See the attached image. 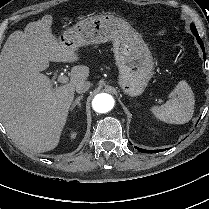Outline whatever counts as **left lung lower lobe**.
<instances>
[{
    "mask_svg": "<svg viewBox=\"0 0 209 209\" xmlns=\"http://www.w3.org/2000/svg\"><path fill=\"white\" fill-rule=\"evenodd\" d=\"M192 33L194 34V36L197 38V41L199 43V45L201 46L202 48V51H203V56H204V59H205V48H204V45H203V42L197 32V30H192ZM139 152H143V153H157V152H161V151H164V150H144V149H141V148H138V147H135Z\"/></svg>",
    "mask_w": 209,
    "mask_h": 209,
    "instance_id": "obj_1",
    "label": "left lung lower lobe"
}]
</instances>
